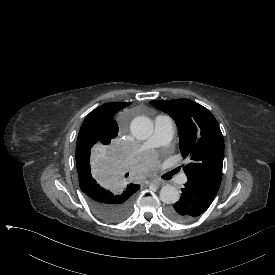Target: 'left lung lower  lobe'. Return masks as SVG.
<instances>
[{
    "mask_svg": "<svg viewBox=\"0 0 275 275\" xmlns=\"http://www.w3.org/2000/svg\"><path fill=\"white\" fill-rule=\"evenodd\" d=\"M217 191L196 181H187L181 198L167 209V216L176 222H187L204 213L212 203Z\"/></svg>",
    "mask_w": 275,
    "mask_h": 275,
    "instance_id": "left-lung-lower-lobe-1",
    "label": "left lung lower lobe"
}]
</instances>
